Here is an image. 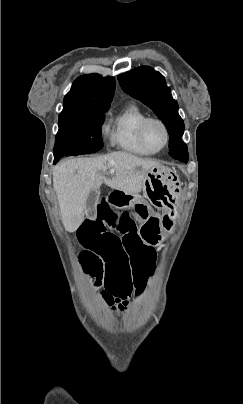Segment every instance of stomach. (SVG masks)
Masks as SVG:
<instances>
[{
    "label": "stomach",
    "instance_id": "obj_1",
    "mask_svg": "<svg viewBox=\"0 0 243 404\" xmlns=\"http://www.w3.org/2000/svg\"><path fill=\"white\" fill-rule=\"evenodd\" d=\"M180 189L178 175L169 168L159 164L147 171L143 192L149 203L140 196L131 202V207L141 222L140 238L146 245H160L164 235L173 231L175 216L170 208H173L180 197ZM151 205L166 210V214H156Z\"/></svg>",
    "mask_w": 243,
    "mask_h": 404
}]
</instances>
